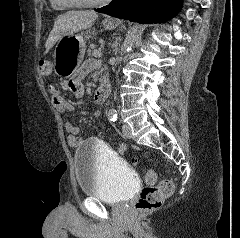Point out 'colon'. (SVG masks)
<instances>
[{"label": "colon", "mask_w": 240, "mask_h": 238, "mask_svg": "<svg viewBox=\"0 0 240 238\" xmlns=\"http://www.w3.org/2000/svg\"><path fill=\"white\" fill-rule=\"evenodd\" d=\"M38 71L41 76L49 77L52 73V63L48 60H41L38 64ZM145 180L150 185L143 188L140 197L136 202V210L139 213L148 212L161 206L164 199L174 191L172 180L165 179L155 184L157 174L154 170L146 173Z\"/></svg>", "instance_id": "1"}]
</instances>
